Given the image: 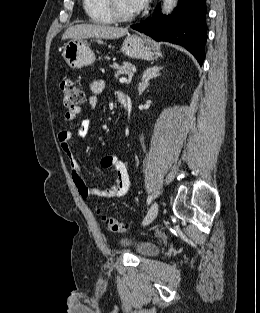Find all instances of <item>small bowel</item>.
I'll use <instances>...</instances> for the list:
<instances>
[{
	"label": "small bowel",
	"instance_id": "1",
	"mask_svg": "<svg viewBox=\"0 0 260 313\" xmlns=\"http://www.w3.org/2000/svg\"><path fill=\"white\" fill-rule=\"evenodd\" d=\"M104 89V83L101 80H97L92 83L91 91L93 95L89 98V105L94 108L97 104V95ZM126 97L124 93H120L119 97ZM127 98V97H126ZM80 108L69 110L65 113L64 119L67 122L74 121L80 114ZM91 127V120L85 119L81 125L72 130L64 129L58 133V144L66 156L67 162L72 172L73 182L79 193V195L88 199L90 197L96 198H120L124 196L130 185V163L120 159L117 154H108L101 158V167L106 169H113L115 171V182L108 189H100L97 187H91L87 185L81 174V167L77 161L70 142L74 136H84L87 134Z\"/></svg>",
	"mask_w": 260,
	"mask_h": 313
}]
</instances>
